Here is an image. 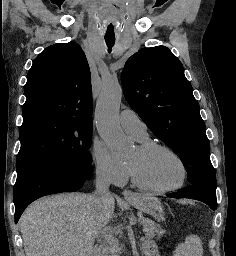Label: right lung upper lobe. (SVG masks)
Wrapping results in <instances>:
<instances>
[{"label":"right lung upper lobe","instance_id":"cb5924a9","mask_svg":"<svg viewBox=\"0 0 236 256\" xmlns=\"http://www.w3.org/2000/svg\"><path fill=\"white\" fill-rule=\"evenodd\" d=\"M23 120L55 116L91 121V74L82 48L74 42L41 52L27 75Z\"/></svg>","mask_w":236,"mask_h":256}]
</instances>
